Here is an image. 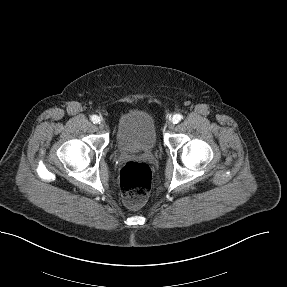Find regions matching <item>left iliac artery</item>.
I'll list each match as a JSON object with an SVG mask.
<instances>
[{"label":"left iliac artery","mask_w":287,"mask_h":287,"mask_svg":"<svg viewBox=\"0 0 287 287\" xmlns=\"http://www.w3.org/2000/svg\"><path fill=\"white\" fill-rule=\"evenodd\" d=\"M181 119H182V115H180V114H175V115L173 116V118H172V122H173V123H178V122L181 121Z\"/></svg>","instance_id":"obj_1"}]
</instances>
